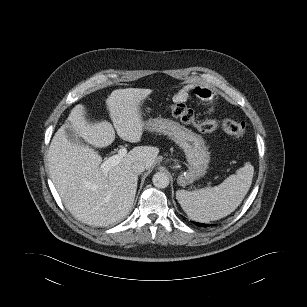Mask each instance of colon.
Returning <instances> with one entry per match:
<instances>
[{
    "instance_id": "1",
    "label": "colon",
    "mask_w": 307,
    "mask_h": 307,
    "mask_svg": "<svg viewBox=\"0 0 307 307\" xmlns=\"http://www.w3.org/2000/svg\"><path fill=\"white\" fill-rule=\"evenodd\" d=\"M171 113L179 118L182 122L193 125L199 131L204 133L222 130L223 132L242 139L247 133V126L244 122L232 119L223 120H205L198 121L192 110L187 108L183 103H173L169 106Z\"/></svg>"
}]
</instances>
